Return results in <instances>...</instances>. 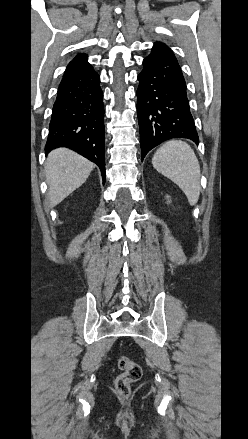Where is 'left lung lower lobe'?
I'll use <instances>...</instances> for the list:
<instances>
[{"mask_svg":"<svg viewBox=\"0 0 248 439\" xmlns=\"http://www.w3.org/2000/svg\"><path fill=\"white\" fill-rule=\"evenodd\" d=\"M138 75L137 114L142 161L155 146L171 138L199 143L186 84L172 50L155 43Z\"/></svg>","mask_w":248,"mask_h":439,"instance_id":"0a47b994","label":"left lung lower lobe"}]
</instances>
